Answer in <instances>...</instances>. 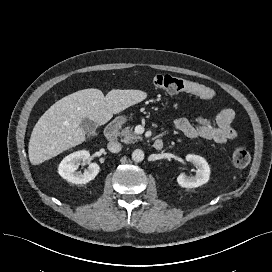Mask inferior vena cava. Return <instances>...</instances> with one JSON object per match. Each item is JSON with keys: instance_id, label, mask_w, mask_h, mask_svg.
<instances>
[{"instance_id": "1", "label": "inferior vena cava", "mask_w": 272, "mask_h": 272, "mask_svg": "<svg viewBox=\"0 0 272 272\" xmlns=\"http://www.w3.org/2000/svg\"><path fill=\"white\" fill-rule=\"evenodd\" d=\"M107 148L112 153H118L121 151V144L117 141H111L108 143Z\"/></svg>"}]
</instances>
